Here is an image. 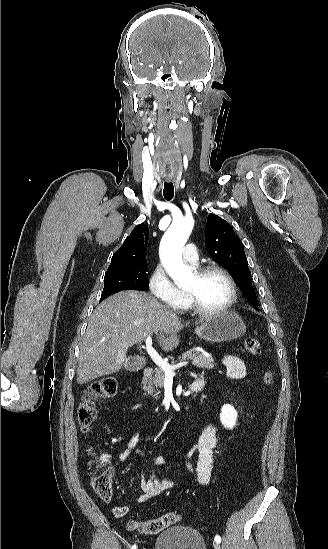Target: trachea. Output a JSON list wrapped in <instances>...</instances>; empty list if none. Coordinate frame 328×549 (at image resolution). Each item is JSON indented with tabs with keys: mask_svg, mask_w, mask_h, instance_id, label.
Masks as SVG:
<instances>
[{
	"mask_svg": "<svg viewBox=\"0 0 328 549\" xmlns=\"http://www.w3.org/2000/svg\"><path fill=\"white\" fill-rule=\"evenodd\" d=\"M164 198L170 201L174 196V186L172 182H165L163 189Z\"/></svg>",
	"mask_w": 328,
	"mask_h": 549,
	"instance_id": "3493384b",
	"label": "trachea"
}]
</instances>
